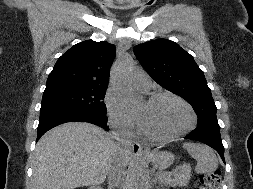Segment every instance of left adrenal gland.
Wrapping results in <instances>:
<instances>
[{
  "mask_svg": "<svg viewBox=\"0 0 253 189\" xmlns=\"http://www.w3.org/2000/svg\"><path fill=\"white\" fill-rule=\"evenodd\" d=\"M156 181H157V179H156V177H155L154 182H156Z\"/></svg>",
  "mask_w": 253,
  "mask_h": 189,
  "instance_id": "left-adrenal-gland-1",
  "label": "left adrenal gland"
}]
</instances>
